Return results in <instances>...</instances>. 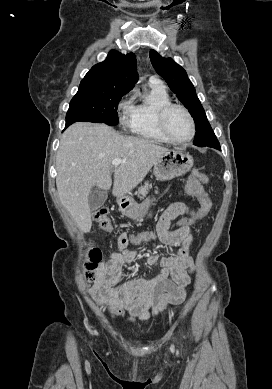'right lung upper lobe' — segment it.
Listing matches in <instances>:
<instances>
[{
    "label": "right lung upper lobe",
    "mask_w": 272,
    "mask_h": 389,
    "mask_svg": "<svg viewBox=\"0 0 272 389\" xmlns=\"http://www.w3.org/2000/svg\"><path fill=\"white\" fill-rule=\"evenodd\" d=\"M136 57L118 51L109 52L105 61L94 65L82 79L80 85L113 88L130 91L138 81Z\"/></svg>",
    "instance_id": "cb5924a9"
}]
</instances>
